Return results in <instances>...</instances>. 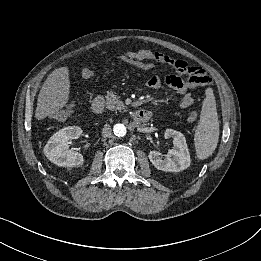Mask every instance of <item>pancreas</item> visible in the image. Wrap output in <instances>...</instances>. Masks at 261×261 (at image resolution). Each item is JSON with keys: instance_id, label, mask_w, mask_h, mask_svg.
<instances>
[{"instance_id": "pancreas-1", "label": "pancreas", "mask_w": 261, "mask_h": 261, "mask_svg": "<svg viewBox=\"0 0 261 261\" xmlns=\"http://www.w3.org/2000/svg\"><path fill=\"white\" fill-rule=\"evenodd\" d=\"M106 106L109 110H125L126 106L124 103L119 99V97L113 93L112 91L107 92L106 95Z\"/></svg>"}]
</instances>
